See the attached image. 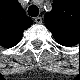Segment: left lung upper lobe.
I'll return each instance as SVG.
<instances>
[{"mask_svg": "<svg viewBox=\"0 0 80 80\" xmlns=\"http://www.w3.org/2000/svg\"><path fill=\"white\" fill-rule=\"evenodd\" d=\"M69 0H54L52 11L45 15V24L52 32L56 41L60 44H75L74 31L76 26L75 18L69 9Z\"/></svg>", "mask_w": 80, "mask_h": 80, "instance_id": "obj_1", "label": "left lung upper lobe"}]
</instances>
